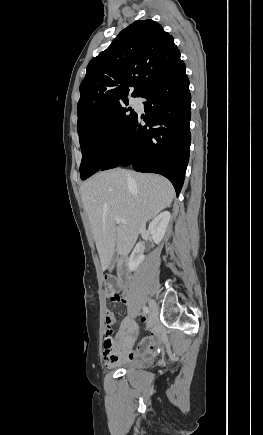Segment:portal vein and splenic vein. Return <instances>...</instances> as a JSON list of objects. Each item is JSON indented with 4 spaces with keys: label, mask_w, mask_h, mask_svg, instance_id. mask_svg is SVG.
Masks as SVG:
<instances>
[{
    "label": "portal vein and splenic vein",
    "mask_w": 263,
    "mask_h": 435,
    "mask_svg": "<svg viewBox=\"0 0 263 435\" xmlns=\"http://www.w3.org/2000/svg\"><path fill=\"white\" fill-rule=\"evenodd\" d=\"M115 222H116L117 224H120V223H126V221H125L124 219L120 218V217H116V218H115Z\"/></svg>",
    "instance_id": "portal-vein-and-splenic-vein-1"
}]
</instances>
